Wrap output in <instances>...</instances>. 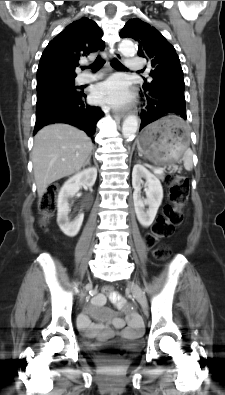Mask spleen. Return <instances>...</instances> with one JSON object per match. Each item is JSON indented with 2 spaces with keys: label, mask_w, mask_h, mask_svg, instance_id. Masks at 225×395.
<instances>
[{
  "label": "spleen",
  "mask_w": 225,
  "mask_h": 395,
  "mask_svg": "<svg viewBox=\"0 0 225 395\" xmlns=\"http://www.w3.org/2000/svg\"><path fill=\"white\" fill-rule=\"evenodd\" d=\"M192 156H193V153H192L191 149H187L184 154V157H183L184 167L186 170H191L193 167Z\"/></svg>",
  "instance_id": "1"
}]
</instances>
